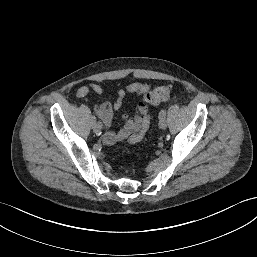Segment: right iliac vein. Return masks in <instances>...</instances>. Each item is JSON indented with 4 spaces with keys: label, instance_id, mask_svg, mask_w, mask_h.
Here are the masks:
<instances>
[{
    "label": "right iliac vein",
    "instance_id": "1",
    "mask_svg": "<svg viewBox=\"0 0 257 257\" xmlns=\"http://www.w3.org/2000/svg\"><path fill=\"white\" fill-rule=\"evenodd\" d=\"M101 129H102V124L101 122H97L95 124H93V131L96 133V134H99L101 132Z\"/></svg>",
    "mask_w": 257,
    "mask_h": 257
}]
</instances>
